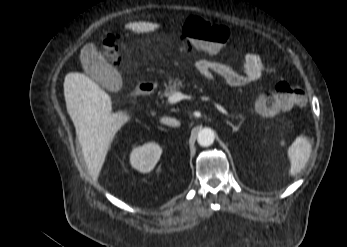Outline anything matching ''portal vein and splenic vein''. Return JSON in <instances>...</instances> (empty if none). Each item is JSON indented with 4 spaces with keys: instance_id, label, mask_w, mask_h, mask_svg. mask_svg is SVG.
I'll return each instance as SVG.
<instances>
[{
    "instance_id": "18ae733b",
    "label": "portal vein and splenic vein",
    "mask_w": 347,
    "mask_h": 247,
    "mask_svg": "<svg viewBox=\"0 0 347 247\" xmlns=\"http://www.w3.org/2000/svg\"><path fill=\"white\" fill-rule=\"evenodd\" d=\"M183 99H191V96L185 95V94H183L182 92L177 91V92L173 93L172 95H170V96L168 97V103H169V104H175V103H177V102H179V101H181V100H183ZM203 100H205V101H211L208 97H203ZM211 102L214 104V106H215L221 113H223V114L226 115V116H229L228 111H227L224 107H222L221 105H219L218 103H216V102H214V101H211Z\"/></svg>"
}]
</instances>
